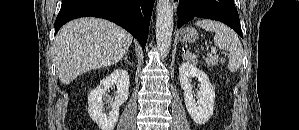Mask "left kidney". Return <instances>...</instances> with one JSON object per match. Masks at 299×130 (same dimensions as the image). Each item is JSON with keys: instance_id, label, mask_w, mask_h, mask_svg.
Listing matches in <instances>:
<instances>
[{"instance_id": "1", "label": "left kidney", "mask_w": 299, "mask_h": 130, "mask_svg": "<svg viewBox=\"0 0 299 130\" xmlns=\"http://www.w3.org/2000/svg\"><path fill=\"white\" fill-rule=\"evenodd\" d=\"M196 77L200 84L196 101L192 93L190 78ZM179 80L181 88L184 90V100L187 111L193 121L197 124H205L214 111L215 91L207 75L195 64L187 61L179 68Z\"/></svg>"}]
</instances>
